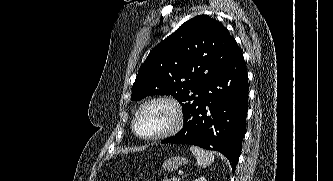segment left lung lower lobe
Masks as SVG:
<instances>
[{
	"label": "left lung lower lobe",
	"instance_id": "1",
	"mask_svg": "<svg viewBox=\"0 0 333 181\" xmlns=\"http://www.w3.org/2000/svg\"><path fill=\"white\" fill-rule=\"evenodd\" d=\"M247 110V70L239 50L207 83L199 103L184 114L181 131L162 143L191 144L219 151L229 159L235 171L242 150Z\"/></svg>",
	"mask_w": 333,
	"mask_h": 181
}]
</instances>
